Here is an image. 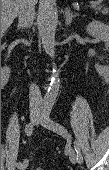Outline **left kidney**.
Here are the masks:
<instances>
[{
  "label": "left kidney",
  "mask_w": 109,
  "mask_h": 170,
  "mask_svg": "<svg viewBox=\"0 0 109 170\" xmlns=\"http://www.w3.org/2000/svg\"><path fill=\"white\" fill-rule=\"evenodd\" d=\"M86 31L92 37L101 39L102 41L109 42V27L108 25L100 21H92L86 27ZM96 71L103 76H107L109 72L108 65L101 66L99 64L95 65Z\"/></svg>",
  "instance_id": "1"
}]
</instances>
